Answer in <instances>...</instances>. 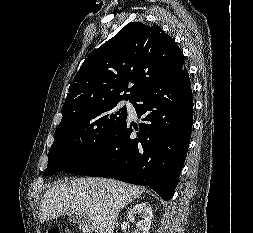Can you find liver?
I'll return each mask as SVG.
<instances>
[{
  "mask_svg": "<svg viewBox=\"0 0 253 233\" xmlns=\"http://www.w3.org/2000/svg\"><path fill=\"white\" fill-rule=\"evenodd\" d=\"M141 194L139 187L114 179L65 178L45 192L39 206L40 222L86 214L92 232L113 233L120 210Z\"/></svg>",
  "mask_w": 253,
  "mask_h": 233,
  "instance_id": "liver-1",
  "label": "liver"
}]
</instances>
